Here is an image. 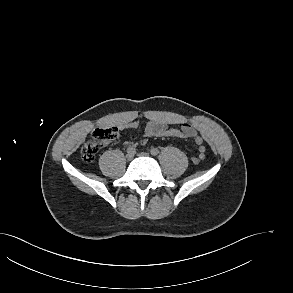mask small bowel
Returning a JSON list of instances; mask_svg holds the SVG:
<instances>
[{"instance_id": "small-bowel-1", "label": "small bowel", "mask_w": 293, "mask_h": 293, "mask_svg": "<svg viewBox=\"0 0 293 293\" xmlns=\"http://www.w3.org/2000/svg\"><path fill=\"white\" fill-rule=\"evenodd\" d=\"M147 123L145 126L146 137H175V138H193L194 142L199 145V151L205 152L202 145L203 138L197 133L196 129L188 123L181 125L179 129L171 128L167 119L153 113L147 114ZM122 128H137L138 122L132 121L121 125Z\"/></svg>"}]
</instances>
